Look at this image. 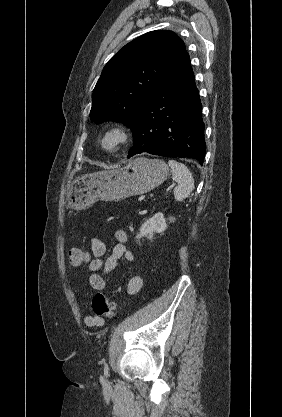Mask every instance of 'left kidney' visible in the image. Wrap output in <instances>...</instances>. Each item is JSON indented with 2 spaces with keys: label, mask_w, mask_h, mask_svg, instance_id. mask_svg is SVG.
I'll use <instances>...</instances> for the list:
<instances>
[{
  "label": "left kidney",
  "mask_w": 282,
  "mask_h": 417,
  "mask_svg": "<svg viewBox=\"0 0 282 417\" xmlns=\"http://www.w3.org/2000/svg\"><path fill=\"white\" fill-rule=\"evenodd\" d=\"M169 223H175V217H169ZM167 229L166 219H164L163 213H155L154 217L147 219L143 225L140 227V233L137 235V243L139 245V239L147 237V239H152L155 233H164Z\"/></svg>",
  "instance_id": "5707ae66"
}]
</instances>
